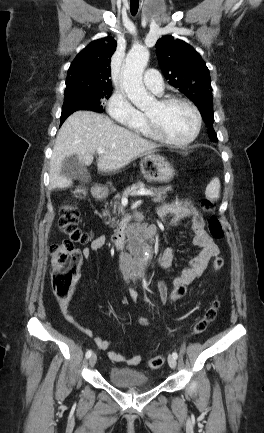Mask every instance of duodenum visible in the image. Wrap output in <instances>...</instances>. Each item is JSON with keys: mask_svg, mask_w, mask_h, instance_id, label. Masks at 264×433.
Instances as JSON below:
<instances>
[{"mask_svg": "<svg viewBox=\"0 0 264 433\" xmlns=\"http://www.w3.org/2000/svg\"><path fill=\"white\" fill-rule=\"evenodd\" d=\"M92 194L95 199H104L105 193L102 189L98 187H94L92 189ZM130 233V223L129 222H123L120 224L118 229H116L113 233L109 235V241L110 243L116 247L121 248L125 245L126 239L128 234ZM156 233V228L154 226L145 228L143 230V234L146 237H152ZM140 250L145 249V245L142 244L139 248ZM133 254H129L131 257ZM123 268L126 270V273H128L130 276H135L140 273L141 268L139 266H130V261L127 260L123 263Z\"/></svg>", "mask_w": 264, "mask_h": 433, "instance_id": "obj_1", "label": "duodenum"}]
</instances>
